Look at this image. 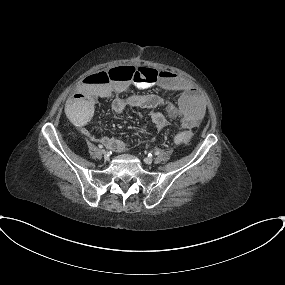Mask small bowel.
Returning a JSON list of instances; mask_svg holds the SVG:
<instances>
[{"mask_svg":"<svg viewBox=\"0 0 285 285\" xmlns=\"http://www.w3.org/2000/svg\"><path fill=\"white\" fill-rule=\"evenodd\" d=\"M110 70L95 72L99 75H106L109 79L108 83L99 84L84 79L79 89L66 100L64 106L65 113L76 126L83 127L90 121L94 113L95 101L98 98H112L111 109L118 114L130 108L148 110L151 121L157 131H162L167 126L168 118L177 119L182 131L175 136L174 140L176 143H179L178 135L180 133H186L190 138L191 130L204 118V106L195 88L188 80L176 73L163 70L159 73L156 82L140 81L138 83H129L108 77ZM142 77L144 78V76ZM132 87L143 89L160 88L167 92L176 93L178 100L174 104L153 93L131 95L129 97H114L115 94L124 93ZM161 107L165 109L166 115L157 110ZM82 132L86 136L93 138V135L88 130L82 129ZM101 142L111 150L117 152L125 151L128 148V143L120 139L103 137L101 138Z\"/></svg>","mask_w":285,"mask_h":285,"instance_id":"1","label":"small bowel"}]
</instances>
